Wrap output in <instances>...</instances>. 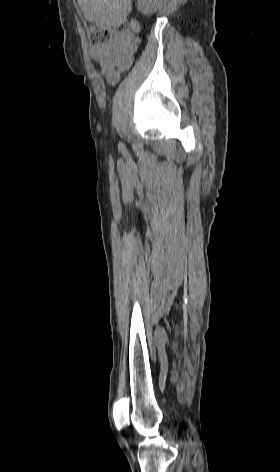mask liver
<instances>
[{
    "instance_id": "6515ba94",
    "label": "liver",
    "mask_w": 280,
    "mask_h": 472,
    "mask_svg": "<svg viewBox=\"0 0 280 472\" xmlns=\"http://www.w3.org/2000/svg\"><path fill=\"white\" fill-rule=\"evenodd\" d=\"M132 0H78L86 19L108 30L126 21L132 10Z\"/></svg>"
}]
</instances>
